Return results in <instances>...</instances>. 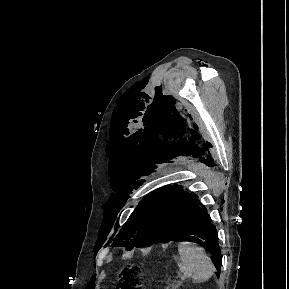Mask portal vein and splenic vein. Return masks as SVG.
Here are the masks:
<instances>
[{
  "label": "portal vein and splenic vein",
  "mask_w": 289,
  "mask_h": 289,
  "mask_svg": "<svg viewBox=\"0 0 289 289\" xmlns=\"http://www.w3.org/2000/svg\"><path fill=\"white\" fill-rule=\"evenodd\" d=\"M184 279H185V277H181L179 281L181 282V281H183Z\"/></svg>",
  "instance_id": "18ae733b"
}]
</instances>
